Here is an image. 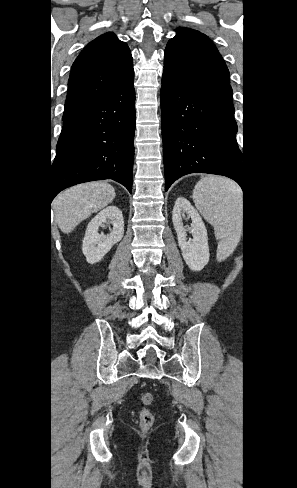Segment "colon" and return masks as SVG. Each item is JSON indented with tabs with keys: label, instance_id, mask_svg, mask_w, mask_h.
Segmentation results:
<instances>
[{
	"label": "colon",
	"instance_id": "obj_1",
	"mask_svg": "<svg viewBox=\"0 0 297 488\" xmlns=\"http://www.w3.org/2000/svg\"><path fill=\"white\" fill-rule=\"evenodd\" d=\"M153 402V396L150 393H144L141 396V403L143 404V408L140 410L139 413V424L142 429H149L152 424L154 423V415L153 413L147 408Z\"/></svg>",
	"mask_w": 297,
	"mask_h": 488
}]
</instances>
